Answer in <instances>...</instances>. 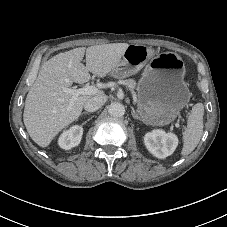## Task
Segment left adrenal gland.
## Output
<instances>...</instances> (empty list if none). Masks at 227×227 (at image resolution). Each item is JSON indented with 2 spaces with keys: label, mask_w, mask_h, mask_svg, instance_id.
I'll list each match as a JSON object with an SVG mask.
<instances>
[{
  "label": "left adrenal gland",
  "mask_w": 227,
  "mask_h": 227,
  "mask_svg": "<svg viewBox=\"0 0 227 227\" xmlns=\"http://www.w3.org/2000/svg\"><path fill=\"white\" fill-rule=\"evenodd\" d=\"M132 116L134 119H139L138 114L135 112V110L132 108V112H131Z\"/></svg>",
  "instance_id": "1"
}]
</instances>
